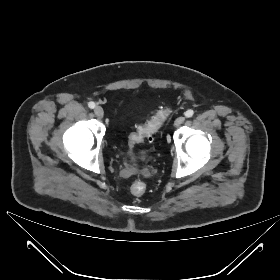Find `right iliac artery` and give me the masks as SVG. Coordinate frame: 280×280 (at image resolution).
I'll return each mask as SVG.
<instances>
[{"instance_id":"1","label":"right iliac artery","mask_w":280,"mask_h":280,"mask_svg":"<svg viewBox=\"0 0 280 280\" xmlns=\"http://www.w3.org/2000/svg\"><path fill=\"white\" fill-rule=\"evenodd\" d=\"M88 106H89V108L94 109L95 108V103L94 102H89Z\"/></svg>"}]
</instances>
